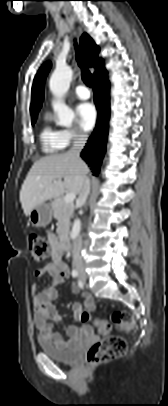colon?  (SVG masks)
I'll return each mask as SVG.
<instances>
[{"label": "colon", "mask_w": 168, "mask_h": 406, "mask_svg": "<svg viewBox=\"0 0 168 406\" xmlns=\"http://www.w3.org/2000/svg\"><path fill=\"white\" fill-rule=\"evenodd\" d=\"M28 245L30 258L34 263H41L52 254V244L38 234L29 236ZM83 318L88 320L90 317L84 313ZM96 327L105 337L90 347L86 356L87 365L101 364L121 357L127 350V342L120 335L110 334V331L114 327L121 333L129 332L134 328V319L129 312L117 311L110 319L98 320Z\"/></svg>", "instance_id": "colon-1"}]
</instances>
